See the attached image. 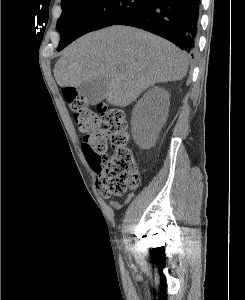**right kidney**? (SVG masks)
I'll use <instances>...</instances> for the list:
<instances>
[{
    "label": "right kidney",
    "instance_id": "right-kidney-1",
    "mask_svg": "<svg viewBox=\"0 0 245 300\" xmlns=\"http://www.w3.org/2000/svg\"><path fill=\"white\" fill-rule=\"evenodd\" d=\"M169 93L160 87L150 89L137 102L131 118L132 136L135 143L147 149L154 145L161 128L166 122Z\"/></svg>",
    "mask_w": 245,
    "mask_h": 300
}]
</instances>
